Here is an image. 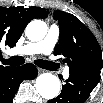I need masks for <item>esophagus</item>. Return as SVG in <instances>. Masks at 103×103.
Instances as JSON below:
<instances>
[{"label":"esophagus","mask_w":103,"mask_h":103,"mask_svg":"<svg viewBox=\"0 0 103 103\" xmlns=\"http://www.w3.org/2000/svg\"><path fill=\"white\" fill-rule=\"evenodd\" d=\"M37 69H38V72H39V73H43V72H44V70L41 69V68H39V67H38Z\"/></svg>","instance_id":"obj_1"}]
</instances>
